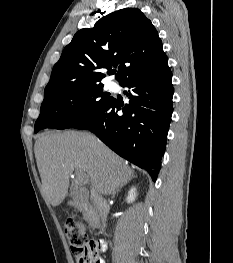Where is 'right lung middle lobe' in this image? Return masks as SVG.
Segmentation results:
<instances>
[{
	"label": "right lung middle lobe",
	"mask_w": 233,
	"mask_h": 263,
	"mask_svg": "<svg viewBox=\"0 0 233 263\" xmlns=\"http://www.w3.org/2000/svg\"><path fill=\"white\" fill-rule=\"evenodd\" d=\"M103 85H89L44 98L35 132L44 128L74 127L109 103L112 97L102 93Z\"/></svg>",
	"instance_id": "dd1d6c3e"
}]
</instances>
